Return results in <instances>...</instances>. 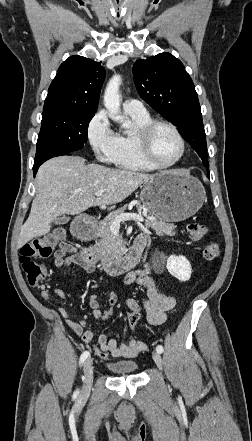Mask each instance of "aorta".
<instances>
[{
	"instance_id": "1",
	"label": "aorta",
	"mask_w": 252,
	"mask_h": 441,
	"mask_svg": "<svg viewBox=\"0 0 252 441\" xmlns=\"http://www.w3.org/2000/svg\"><path fill=\"white\" fill-rule=\"evenodd\" d=\"M120 84L121 77L119 75H115L110 79L104 92V106L112 120L121 123L123 128H129L131 125L130 121L125 120L124 117L121 116Z\"/></svg>"
}]
</instances>
